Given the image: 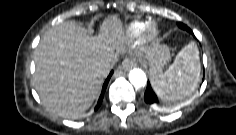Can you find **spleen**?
<instances>
[{"label": "spleen", "mask_w": 236, "mask_h": 135, "mask_svg": "<svg viewBox=\"0 0 236 135\" xmlns=\"http://www.w3.org/2000/svg\"><path fill=\"white\" fill-rule=\"evenodd\" d=\"M200 58L194 42L188 43L175 57L167 70L155 69L151 83L165 100H182L191 95L200 80Z\"/></svg>", "instance_id": "3e777b00"}]
</instances>
